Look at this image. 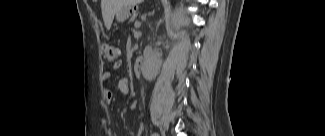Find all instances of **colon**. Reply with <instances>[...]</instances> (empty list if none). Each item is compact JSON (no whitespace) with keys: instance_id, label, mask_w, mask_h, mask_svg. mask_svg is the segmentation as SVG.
Returning <instances> with one entry per match:
<instances>
[{"instance_id":"obj_1","label":"colon","mask_w":325,"mask_h":136,"mask_svg":"<svg viewBox=\"0 0 325 136\" xmlns=\"http://www.w3.org/2000/svg\"><path fill=\"white\" fill-rule=\"evenodd\" d=\"M102 50L104 58L109 62H113L119 57V49L112 43H105Z\"/></svg>"}]
</instances>
